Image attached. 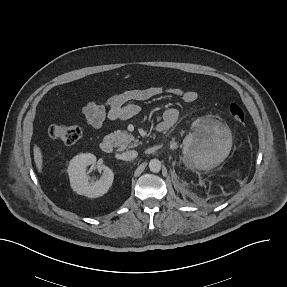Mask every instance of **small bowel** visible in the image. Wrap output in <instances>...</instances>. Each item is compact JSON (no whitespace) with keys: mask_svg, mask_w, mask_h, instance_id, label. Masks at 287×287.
<instances>
[{"mask_svg":"<svg viewBox=\"0 0 287 287\" xmlns=\"http://www.w3.org/2000/svg\"><path fill=\"white\" fill-rule=\"evenodd\" d=\"M165 94L178 97L187 104L194 103L198 98V94L194 90H185L176 86L151 85L123 91L106 99L102 104L89 102L82 108V114L88 125L94 129H101L105 120L117 121L131 118L138 114L139 102ZM178 119L179 112L176 108L166 109L157 128L162 126L166 131L173 127Z\"/></svg>","mask_w":287,"mask_h":287,"instance_id":"c3829d8e","label":"small bowel"}]
</instances>
